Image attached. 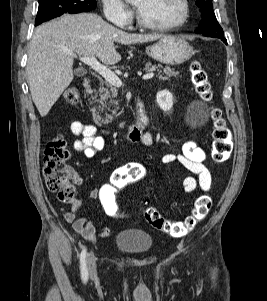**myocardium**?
<instances>
[{"instance_id": "myocardium-1", "label": "myocardium", "mask_w": 267, "mask_h": 301, "mask_svg": "<svg viewBox=\"0 0 267 301\" xmlns=\"http://www.w3.org/2000/svg\"><path fill=\"white\" fill-rule=\"evenodd\" d=\"M180 2L182 4V9H183L182 15L179 18V20L174 23L163 24V25L153 24L143 19L142 16L139 14V12L137 13V22L141 27L149 30H154V31L166 32V31H172L178 29L187 22L190 14V6L188 0H180Z\"/></svg>"}]
</instances>
